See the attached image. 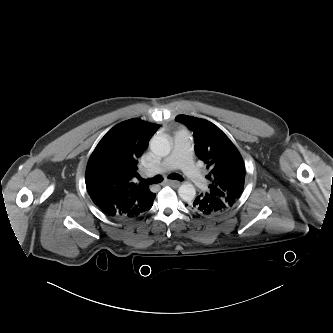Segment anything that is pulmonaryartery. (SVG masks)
Wrapping results in <instances>:
<instances>
[{
	"label": "pulmonary artery",
	"instance_id": "e3ab8cb5",
	"mask_svg": "<svg viewBox=\"0 0 333 333\" xmlns=\"http://www.w3.org/2000/svg\"><path fill=\"white\" fill-rule=\"evenodd\" d=\"M181 168L191 182L198 188L206 185V179L192 161L191 137L187 130H178L174 134V147L172 153L156 165L150 174L166 172Z\"/></svg>",
	"mask_w": 333,
	"mask_h": 333
}]
</instances>
